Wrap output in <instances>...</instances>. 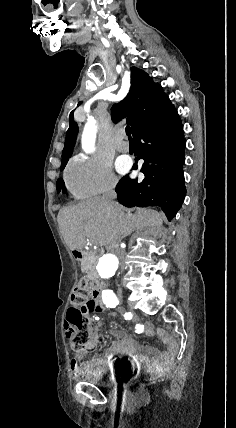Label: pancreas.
<instances>
[{"instance_id":"pancreas-1","label":"pancreas","mask_w":236,"mask_h":428,"mask_svg":"<svg viewBox=\"0 0 236 428\" xmlns=\"http://www.w3.org/2000/svg\"><path fill=\"white\" fill-rule=\"evenodd\" d=\"M97 256H93V258H87L85 262H81V270L82 272H86L88 278L90 280H97V272L95 270V266L97 264Z\"/></svg>"}]
</instances>
